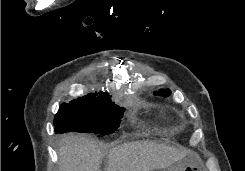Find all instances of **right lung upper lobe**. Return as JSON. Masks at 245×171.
<instances>
[{
    "mask_svg": "<svg viewBox=\"0 0 245 171\" xmlns=\"http://www.w3.org/2000/svg\"><path fill=\"white\" fill-rule=\"evenodd\" d=\"M110 99V96L106 92H99V93H90L88 95H85L83 97H79L78 100L75 101H95V100H106ZM74 101V102H75Z\"/></svg>",
    "mask_w": 245,
    "mask_h": 171,
    "instance_id": "right-lung-upper-lobe-1",
    "label": "right lung upper lobe"
}]
</instances>
